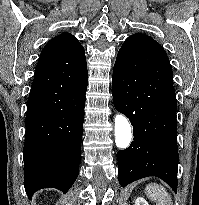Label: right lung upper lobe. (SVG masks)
<instances>
[{"mask_svg":"<svg viewBox=\"0 0 199 205\" xmlns=\"http://www.w3.org/2000/svg\"><path fill=\"white\" fill-rule=\"evenodd\" d=\"M85 73L87 63L84 48L72 34L62 33L44 46L34 81H46L50 90H61L65 78L78 77Z\"/></svg>","mask_w":199,"mask_h":205,"instance_id":"obj_1","label":"right lung upper lobe"}]
</instances>
